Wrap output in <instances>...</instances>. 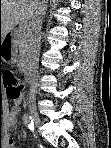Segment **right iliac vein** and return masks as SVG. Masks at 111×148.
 <instances>
[{
  "instance_id": "obj_1",
  "label": "right iliac vein",
  "mask_w": 111,
  "mask_h": 148,
  "mask_svg": "<svg viewBox=\"0 0 111 148\" xmlns=\"http://www.w3.org/2000/svg\"><path fill=\"white\" fill-rule=\"evenodd\" d=\"M29 110H30V114H31V117H32L34 123L36 125H39L40 124V117H39V114L36 111V108L34 106H31L29 108Z\"/></svg>"
}]
</instances>
